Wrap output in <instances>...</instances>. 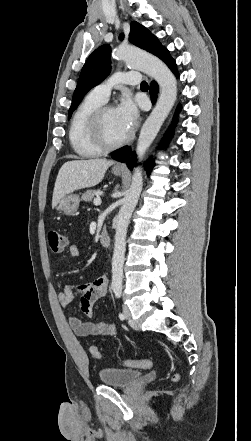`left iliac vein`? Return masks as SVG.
Listing matches in <instances>:
<instances>
[{
	"mask_svg": "<svg viewBox=\"0 0 251 441\" xmlns=\"http://www.w3.org/2000/svg\"><path fill=\"white\" fill-rule=\"evenodd\" d=\"M123 312H124L126 319L129 321V323L132 325V327H136V324L131 320V313H130L128 306H126V305L123 306Z\"/></svg>",
	"mask_w": 251,
	"mask_h": 441,
	"instance_id": "obj_1",
	"label": "left iliac vein"
}]
</instances>
